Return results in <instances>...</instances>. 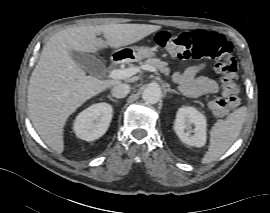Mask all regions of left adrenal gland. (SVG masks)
<instances>
[{"label": "left adrenal gland", "instance_id": "1", "mask_svg": "<svg viewBox=\"0 0 270 213\" xmlns=\"http://www.w3.org/2000/svg\"><path fill=\"white\" fill-rule=\"evenodd\" d=\"M166 91L169 92V93H176V94H179V92H177V91L174 90V89H171L169 86H168V88L166 89Z\"/></svg>", "mask_w": 270, "mask_h": 213}]
</instances>
